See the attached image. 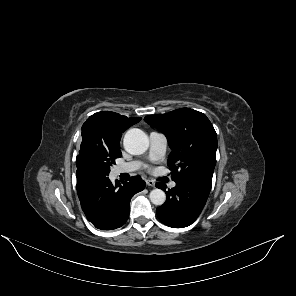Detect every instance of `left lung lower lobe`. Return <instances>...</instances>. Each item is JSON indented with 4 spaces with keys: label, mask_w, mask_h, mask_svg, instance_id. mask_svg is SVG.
I'll return each mask as SVG.
<instances>
[{
    "label": "left lung lower lobe",
    "mask_w": 296,
    "mask_h": 296,
    "mask_svg": "<svg viewBox=\"0 0 296 296\" xmlns=\"http://www.w3.org/2000/svg\"><path fill=\"white\" fill-rule=\"evenodd\" d=\"M212 182L186 181L165 191L166 185L156 186L165 191L166 202L156 209L158 218L167 226L183 228L192 224L201 213L211 190Z\"/></svg>",
    "instance_id": "left-lung-lower-lobe-1"
}]
</instances>
